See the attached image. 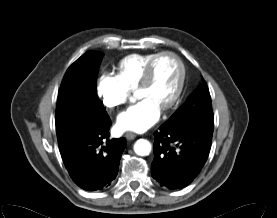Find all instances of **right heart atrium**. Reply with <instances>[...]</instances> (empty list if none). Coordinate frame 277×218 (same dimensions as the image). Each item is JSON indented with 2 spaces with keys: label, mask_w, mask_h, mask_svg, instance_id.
<instances>
[{
  "label": "right heart atrium",
  "mask_w": 277,
  "mask_h": 218,
  "mask_svg": "<svg viewBox=\"0 0 277 218\" xmlns=\"http://www.w3.org/2000/svg\"><path fill=\"white\" fill-rule=\"evenodd\" d=\"M97 93L106 107L114 108L127 102L131 88L119 75L105 71L98 78Z\"/></svg>",
  "instance_id": "d8ad5b80"
}]
</instances>
